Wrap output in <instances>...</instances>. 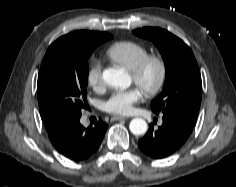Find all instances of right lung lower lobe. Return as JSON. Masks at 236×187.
I'll use <instances>...</instances> for the list:
<instances>
[{
	"mask_svg": "<svg viewBox=\"0 0 236 187\" xmlns=\"http://www.w3.org/2000/svg\"><path fill=\"white\" fill-rule=\"evenodd\" d=\"M107 124L102 120L94 127L84 128L80 120L72 123L65 131L57 145V151L72 161L80 162L90 158L99 148Z\"/></svg>",
	"mask_w": 236,
	"mask_h": 187,
	"instance_id": "98d812e1",
	"label": "right lung lower lobe"
}]
</instances>
